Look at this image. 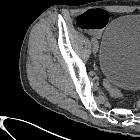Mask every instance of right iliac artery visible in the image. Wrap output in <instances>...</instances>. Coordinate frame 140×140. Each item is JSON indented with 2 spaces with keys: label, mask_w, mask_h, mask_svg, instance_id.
<instances>
[{
  "label": "right iliac artery",
  "mask_w": 140,
  "mask_h": 140,
  "mask_svg": "<svg viewBox=\"0 0 140 140\" xmlns=\"http://www.w3.org/2000/svg\"><path fill=\"white\" fill-rule=\"evenodd\" d=\"M92 41L94 42V41H95V39L93 38V39H92Z\"/></svg>",
  "instance_id": "right-iliac-artery-1"
}]
</instances>
